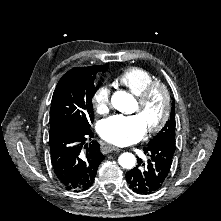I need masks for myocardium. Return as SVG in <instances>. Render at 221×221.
I'll return each mask as SVG.
<instances>
[{
	"label": "myocardium",
	"instance_id": "myocardium-1",
	"mask_svg": "<svg viewBox=\"0 0 221 221\" xmlns=\"http://www.w3.org/2000/svg\"><path fill=\"white\" fill-rule=\"evenodd\" d=\"M156 93H162L164 98V109L159 121L146 129L148 135L160 132L167 124L171 114V96L169 90L166 85L157 81L150 84L143 93L138 96L137 103L140 110H144L147 107L149 101Z\"/></svg>",
	"mask_w": 221,
	"mask_h": 221
}]
</instances>
